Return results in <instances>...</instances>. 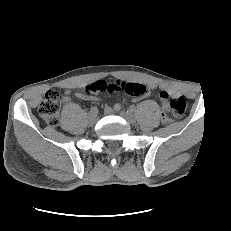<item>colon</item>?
<instances>
[{"mask_svg":"<svg viewBox=\"0 0 231 231\" xmlns=\"http://www.w3.org/2000/svg\"><path fill=\"white\" fill-rule=\"evenodd\" d=\"M105 92H123L133 97L144 96L148 89L139 83H125L117 80L96 81L85 88L86 96H95ZM161 99L164 107L175 117H181L187 108V102L183 96L176 91H163ZM61 105V92L57 89L49 90L39 105L38 111L42 119L49 125L58 123Z\"/></svg>","mask_w":231,"mask_h":231,"instance_id":"colon-1","label":"colon"}]
</instances>
